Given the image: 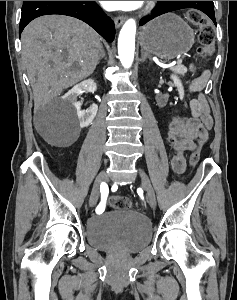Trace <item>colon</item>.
Segmentation results:
<instances>
[{"label":"colon","instance_id":"1","mask_svg":"<svg viewBox=\"0 0 237 300\" xmlns=\"http://www.w3.org/2000/svg\"><path fill=\"white\" fill-rule=\"evenodd\" d=\"M187 20L199 28L198 56L201 61L207 60L214 52L215 30L209 18L198 9L188 10ZM202 142L199 140L198 145L190 157V164L196 166L200 159ZM110 204L116 209H128L131 207V202L128 198L121 195H113L110 198Z\"/></svg>","mask_w":237,"mask_h":300}]
</instances>
